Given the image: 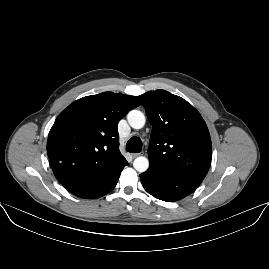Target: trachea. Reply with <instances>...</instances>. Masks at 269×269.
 I'll list each match as a JSON object with an SVG mask.
<instances>
[{"mask_svg":"<svg viewBox=\"0 0 269 269\" xmlns=\"http://www.w3.org/2000/svg\"><path fill=\"white\" fill-rule=\"evenodd\" d=\"M126 150L131 153H139L142 150V142L139 137H132L126 144Z\"/></svg>","mask_w":269,"mask_h":269,"instance_id":"1","label":"trachea"}]
</instances>
